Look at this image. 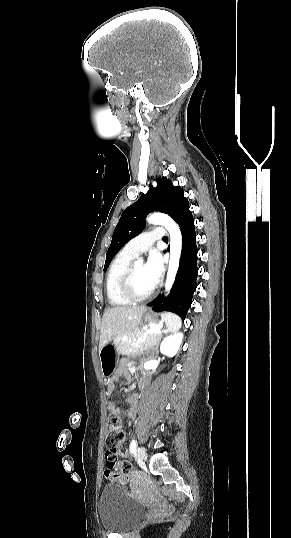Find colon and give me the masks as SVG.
<instances>
[{
	"instance_id": "1",
	"label": "colon",
	"mask_w": 291,
	"mask_h": 538,
	"mask_svg": "<svg viewBox=\"0 0 291 538\" xmlns=\"http://www.w3.org/2000/svg\"><path fill=\"white\" fill-rule=\"evenodd\" d=\"M123 437L124 430L119 418L115 415L111 416L108 420L106 433L107 470L105 474L109 481L126 484L131 478V466L128 462L118 458V444Z\"/></svg>"
}]
</instances>
